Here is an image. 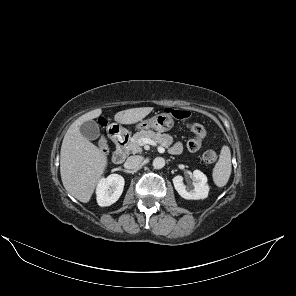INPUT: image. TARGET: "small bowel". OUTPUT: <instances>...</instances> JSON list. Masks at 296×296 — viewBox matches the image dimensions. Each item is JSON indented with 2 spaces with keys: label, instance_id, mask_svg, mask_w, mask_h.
I'll return each mask as SVG.
<instances>
[{
  "label": "small bowel",
  "instance_id": "obj_1",
  "mask_svg": "<svg viewBox=\"0 0 296 296\" xmlns=\"http://www.w3.org/2000/svg\"><path fill=\"white\" fill-rule=\"evenodd\" d=\"M182 150V144L180 142H177L171 149V151L175 154L180 153Z\"/></svg>",
  "mask_w": 296,
  "mask_h": 296
}]
</instances>
